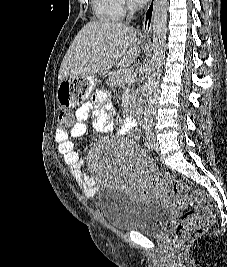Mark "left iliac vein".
Here are the masks:
<instances>
[{"mask_svg":"<svg viewBox=\"0 0 227 267\" xmlns=\"http://www.w3.org/2000/svg\"><path fill=\"white\" fill-rule=\"evenodd\" d=\"M151 139H152V142H153V149L157 150L158 149V144H157V140H156V138H155V136L153 134H151Z\"/></svg>","mask_w":227,"mask_h":267,"instance_id":"4c4485c4","label":"left iliac vein"}]
</instances>
